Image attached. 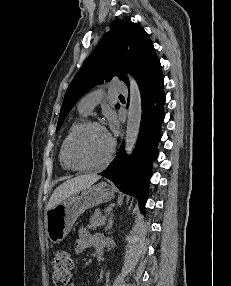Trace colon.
<instances>
[{"instance_id": "obj_1", "label": "colon", "mask_w": 231, "mask_h": 286, "mask_svg": "<svg viewBox=\"0 0 231 286\" xmlns=\"http://www.w3.org/2000/svg\"><path fill=\"white\" fill-rule=\"evenodd\" d=\"M73 270L71 254L66 250H59L52 260V277L56 286H66Z\"/></svg>"}]
</instances>
